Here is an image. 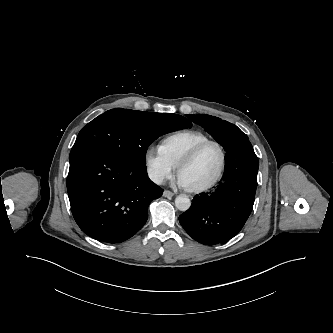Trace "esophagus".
Wrapping results in <instances>:
<instances>
[{"instance_id":"esophagus-1","label":"esophagus","mask_w":333,"mask_h":333,"mask_svg":"<svg viewBox=\"0 0 333 333\" xmlns=\"http://www.w3.org/2000/svg\"><path fill=\"white\" fill-rule=\"evenodd\" d=\"M173 195H174V193L169 190H164V192H163V196L167 197V198H171V197H173Z\"/></svg>"}]
</instances>
